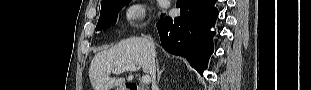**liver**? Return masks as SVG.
<instances>
[{
    "mask_svg": "<svg viewBox=\"0 0 311 90\" xmlns=\"http://www.w3.org/2000/svg\"><path fill=\"white\" fill-rule=\"evenodd\" d=\"M154 44L146 38H128L120 41L114 47L97 53L89 68V78L93 90H111L114 86L125 83V78H111L114 69L125 66H139L152 76L155 64ZM128 76V80L133 79Z\"/></svg>",
    "mask_w": 311,
    "mask_h": 90,
    "instance_id": "obj_1",
    "label": "liver"
}]
</instances>
